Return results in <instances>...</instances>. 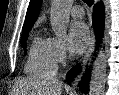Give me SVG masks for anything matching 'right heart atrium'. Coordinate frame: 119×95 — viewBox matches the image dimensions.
<instances>
[{
	"label": "right heart atrium",
	"instance_id": "d8ad5b80",
	"mask_svg": "<svg viewBox=\"0 0 119 95\" xmlns=\"http://www.w3.org/2000/svg\"><path fill=\"white\" fill-rule=\"evenodd\" d=\"M56 64H63L69 57L66 43L57 38H50Z\"/></svg>",
	"mask_w": 119,
	"mask_h": 95
}]
</instances>
